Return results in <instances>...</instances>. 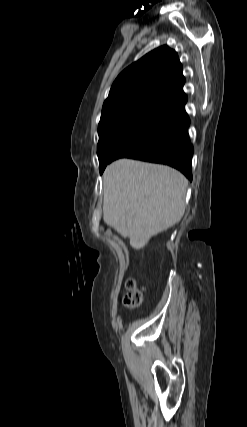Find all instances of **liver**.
I'll list each match as a JSON object with an SVG mask.
<instances>
[{"instance_id":"6515ba94","label":"liver","mask_w":247,"mask_h":427,"mask_svg":"<svg viewBox=\"0 0 247 427\" xmlns=\"http://www.w3.org/2000/svg\"><path fill=\"white\" fill-rule=\"evenodd\" d=\"M187 179L164 165L120 159L103 174V219L135 249L177 224L185 212Z\"/></svg>"}]
</instances>
